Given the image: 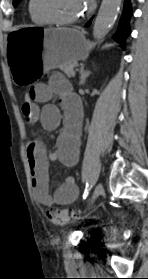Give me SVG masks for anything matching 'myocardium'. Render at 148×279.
I'll use <instances>...</instances> for the list:
<instances>
[{
    "label": "myocardium",
    "instance_id": "obj_1",
    "mask_svg": "<svg viewBox=\"0 0 148 279\" xmlns=\"http://www.w3.org/2000/svg\"><path fill=\"white\" fill-rule=\"evenodd\" d=\"M32 8L34 13L41 17L42 19L48 21L49 23L58 24V25H70L77 23L82 20V16H77L73 18H61L52 13L43 11L39 6V0H32Z\"/></svg>",
    "mask_w": 148,
    "mask_h": 279
}]
</instances>
